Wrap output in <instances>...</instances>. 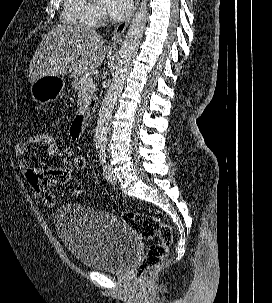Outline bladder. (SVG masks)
Listing matches in <instances>:
<instances>
[{
    "instance_id": "1",
    "label": "bladder",
    "mask_w": 272,
    "mask_h": 303,
    "mask_svg": "<svg viewBox=\"0 0 272 303\" xmlns=\"http://www.w3.org/2000/svg\"><path fill=\"white\" fill-rule=\"evenodd\" d=\"M57 233L82 265L100 271H122L135 257L136 232L111 213L78 203H67L55 215Z\"/></svg>"
}]
</instances>
